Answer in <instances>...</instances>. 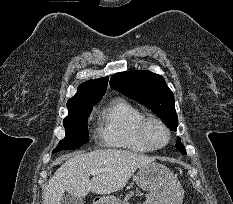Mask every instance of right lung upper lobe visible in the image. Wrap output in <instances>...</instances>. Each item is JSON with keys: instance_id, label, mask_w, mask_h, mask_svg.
Masks as SVG:
<instances>
[{"instance_id": "right-lung-upper-lobe-1", "label": "right lung upper lobe", "mask_w": 233, "mask_h": 204, "mask_svg": "<svg viewBox=\"0 0 233 204\" xmlns=\"http://www.w3.org/2000/svg\"><path fill=\"white\" fill-rule=\"evenodd\" d=\"M107 83L108 77H103L81 84L77 94L68 100V109L86 107L99 102L106 91Z\"/></svg>"}]
</instances>
